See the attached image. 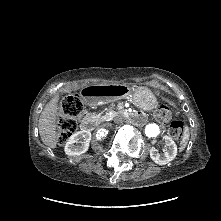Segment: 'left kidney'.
Wrapping results in <instances>:
<instances>
[{"mask_svg":"<svg viewBox=\"0 0 221 221\" xmlns=\"http://www.w3.org/2000/svg\"><path fill=\"white\" fill-rule=\"evenodd\" d=\"M164 142L166 146V150L163 154H160L155 147L150 149V157L151 159L159 165H165L171 162L177 155V145L172 140V138L168 136H164Z\"/></svg>","mask_w":221,"mask_h":221,"instance_id":"obj_1","label":"left kidney"}]
</instances>
